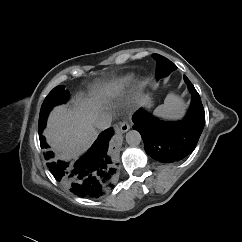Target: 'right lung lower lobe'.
<instances>
[{
    "label": "right lung lower lobe",
    "instance_id": "obj_1",
    "mask_svg": "<svg viewBox=\"0 0 242 242\" xmlns=\"http://www.w3.org/2000/svg\"><path fill=\"white\" fill-rule=\"evenodd\" d=\"M41 133L39 132L40 145L46 150L44 155L50 161L47 164L50 172L73 194L98 198L111 189L116 168L107 152L113 129L103 131L89 151L74 163L56 160L54 153L47 150L49 146Z\"/></svg>",
    "mask_w": 242,
    "mask_h": 242
}]
</instances>
